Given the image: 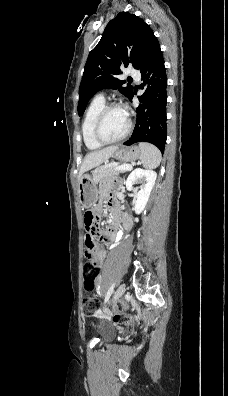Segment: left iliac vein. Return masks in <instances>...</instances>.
<instances>
[{"label":"left iliac vein","mask_w":228,"mask_h":396,"mask_svg":"<svg viewBox=\"0 0 228 396\" xmlns=\"http://www.w3.org/2000/svg\"><path fill=\"white\" fill-rule=\"evenodd\" d=\"M125 291H126V285H125L124 283H122V284L117 288V290H116L115 293H114V296H113V303H116V302L123 296V294L125 293Z\"/></svg>","instance_id":"1"}]
</instances>
